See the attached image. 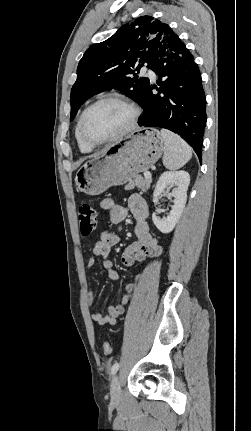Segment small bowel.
Listing matches in <instances>:
<instances>
[{
  "label": "small bowel",
  "instance_id": "obj_1",
  "mask_svg": "<svg viewBox=\"0 0 251 431\" xmlns=\"http://www.w3.org/2000/svg\"><path fill=\"white\" fill-rule=\"evenodd\" d=\"M100 210L108 214L112 223L122 222L130 211L136 220L135 234L137 241L130 244L122 254V262L125 266L131 267L138 262H143L148 258L158 257L162 253V247L158 240L150 233L147 223L148 206L145 200L137 195L130 196L128 206L115 202L113 199L106 198L100 202ZM120 241L118 235L113 232L102 230L100 238L93 245L92 255L89 257L87 266L92 267L98 257L103 258L102 265L108 273L110 279L116 281L120 278L119 273L113 268V263L109 259L112 247ZM142 279V275L135 278V283H128L125 287L128 293L135 290L136 283ZM128 294L122 296L120 303L108 307L107 314H92V319L99 325H114L117 319L124 313L126 305L129 303ZM87 302L90 307L94 305V296L91 291L87 294Z\"/></svg>",
  "mask_w": 251,
  "mask_h": 431
}]
</instances>
